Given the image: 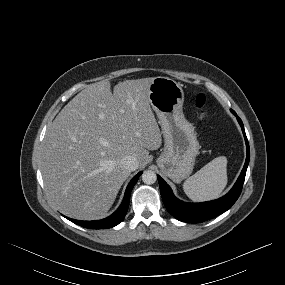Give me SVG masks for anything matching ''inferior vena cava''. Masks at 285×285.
<instances>
[{
	"mask_svg": "<svg viewBox=\"0 0 285 285\" xmlns=\"http://www.w3.org/2000/svg\"><path fill=\"white\" fill-rule=\"evenodd\" d=\"M122 166L129 170L135 171L138 168V161L137 158L133 155H128L121 160Z\"/></svg>",
	"mask_w": 285,
	"mask_h": 285,
	"instance_id": "obj_1",
	"label": "inferior vena cava"
}]
</instances>
